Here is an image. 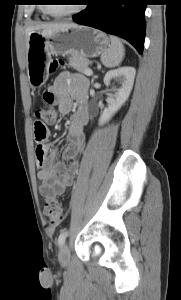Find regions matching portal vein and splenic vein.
<instances>
[{
    "instance_id": "obj_1",
    "label": "portal vein and splenic vein",
    "mask_w": 181,
    "mask_h": 300,
    "mask_svg": "<svg viewBox=\"0 0 181 300\" xmlns=\"http://www.w3.org/2000/svg\"><path fill=\"white\" fill-rule=\"evenodd\" d=\"M85 75H87V76H92V75H93L92 70H91V69H87V70L85 71Z\"/></svg>"
}]
</instances>
